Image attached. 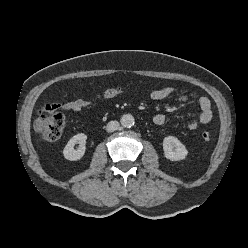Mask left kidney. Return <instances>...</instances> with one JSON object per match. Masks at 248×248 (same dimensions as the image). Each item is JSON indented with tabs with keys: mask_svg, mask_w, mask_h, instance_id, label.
<instances>
[{
	"mask_svg": "<svg viewBox=\"0 0 248 248\" xmlns=\"http://www.w3.org/2000/svg\"><path fill=\"white\" fill-rule=\"evenodd\" d=\"M164 155L171 161L183 160L188 154L186 147L174 136H167L163 140Z\"/></svg>",
	"mask_w": 248,
	"mask_h": 248,
	"instance_id": "1",
	"label": "left kidney"
}]
</instances>
